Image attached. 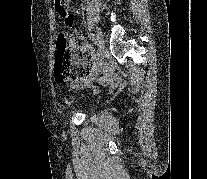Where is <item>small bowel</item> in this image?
<instances>
[{
	"label": "small bowel",
	"instance_id": "obj_1",
	"mask_svg": "<svg viewBox=\"0 0 207 179\" xmlns=\"http://www.w3.org/2000/svg\"><path fill=\"white\" fill-rule=\"evenodd\" d=\"M77 13H80V10H77ZM73 22V20H71V23ZM71 44L73 48H76V42L74 39H71ZM94 70L96 71H102L103 70V64L101 65L100 62H95L94 65ZM94 77L93 75H91L90 78ZM89 80H87L88 82ZM85 82V81H84ZM85 82V83H87ZM100 84L103 86H110V87H114L118 84V79L116 78V76L108 69L104 70V76L99 80Z\"/></svg>",
	"mask_w": 207,
	"mask_h": 179
}]
</instances>
